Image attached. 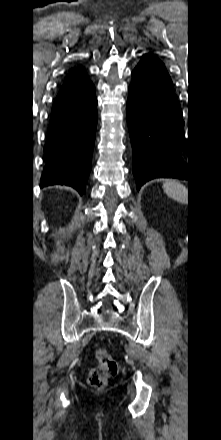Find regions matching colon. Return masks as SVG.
Masks as SVG:
<instances>
[{
  "label": "colon",
  "mask_w": 221,
  "mask_h": 440,
  "mask_svg": "<svg viewBox=\"0 0 221 440\" xmlns=\"http://www.w3.org/2000/svg\"><path fill=\"white\" fill-rule=\"evenodd\" d=\"M95 357L98 365L90 371L88 382L92 387L102 389L107 385L108 379L118 373V364L105 349H97Z\"/></svg>",
  "instance_id": "5ec220e1"
}]
</instances>
